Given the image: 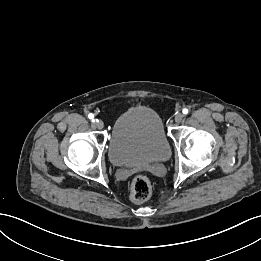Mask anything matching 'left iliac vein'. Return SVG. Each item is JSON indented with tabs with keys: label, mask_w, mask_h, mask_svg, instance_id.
<instances>
[{
	"label": "left iliac vein",
	"mask_w": 261,
	"mask_h": 261,
	"mask_svg": "<svg viewBox=\"0 0 261 261\" xmlns=\"http://www.w3.org/2000/svg\"><path fill=\"white\" fill-rule=\"evenodd\" d=\"M184 118V115L182 113H178L175 115V122L180 123Z\"/></svg>",
	"instance_id": "obj_1"
}]
</instances>
